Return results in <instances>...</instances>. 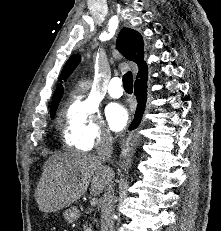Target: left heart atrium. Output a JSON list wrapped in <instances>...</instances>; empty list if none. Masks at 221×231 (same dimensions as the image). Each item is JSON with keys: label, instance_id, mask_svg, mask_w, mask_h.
Wrapping results in <instances>:
<instances>
[{"label": "left heart atrium", "instance_id": "39dd6f15", "mask_svg": "<svg viewBox=\"0 0 221 231\" xmlns=\"http://www.w3.org/2000/svg\"><path fill=\"white\" fill-rule=\"evenodd\" d=\"M106 119L111 129L120 130L128 121V113L126 109L117 103H112L106 108Z\"/></svg>", "mask_w": 221, "mask_h": 231}]
</instances>
